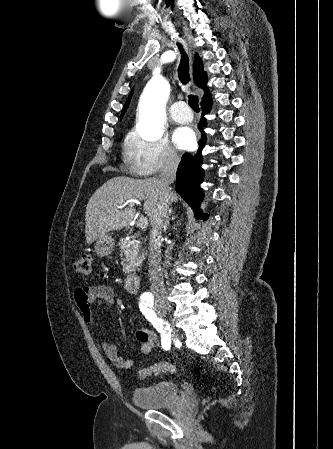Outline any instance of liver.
<instances>
[{
	"mask_svg": "<svg viewBox=\"0 0 333 449\" xmlns=\"http://www.w3.org/2000/svg\"><path fill=\"white\" fill-rule=\"evenodd\" d=\"M161 196L159 179H131L115 177L104 183L90 198L85 214V235L88 244L112 230L127 226L135 216L131 206L123 209L130 200L144 201V213L153 224ZM179 196L170 192V202Z\"/></svg>",
	"mask_w": 333,
	"mask_h": 449,
	"instance_id": "1",
	"label": "liver"
}]
</instances>
